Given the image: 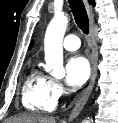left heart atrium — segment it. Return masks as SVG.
Returning a JSON list of instances; mask_svg holds the SVG:
<instances>
[{"mask_svg":"<svg viewBox=\"0 0 118 123\" xmlns=\"http://www.w3.org/2000/svg\"><path fill=\"white\" fill-rule=\"evenodd\" d=\"M67 85L73 88L81 87L90 76V64L88 60L81 55L72 56L66 63Z\"/></svg>","mask_w":118,"mask_h":123,"instance_id":"1","label":"left heart atrium"}]
</instances>
